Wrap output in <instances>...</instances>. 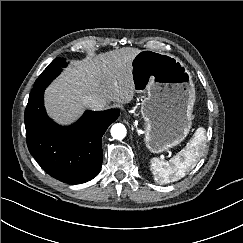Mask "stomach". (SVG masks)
Here are the masks:
<instances>
[{
  "mask_svg": "<svg viewBox=\"0 0 243 243\" xmlns=\"http://www.w3.org/2000/svg\"><path fill=\"white\" fill-rule=\"evenodd\" d=\"M135 90L147 93L141 103L145 121V144L161 153L181 143L188 135L195 102L190 72L177 57L141 50L132 60Z\"/></svg>",
  "mask_w": 243,
  "mask_h": 243,
  "instance_id": "obj_1",
  "label": "stomach"
}]
</instances>
